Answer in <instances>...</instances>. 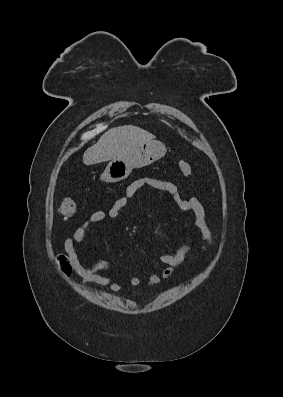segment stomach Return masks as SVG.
I'll return each mask as SVG.
<instances>
[{"instance_id":"obj_1","label":"stomach","mask_w":283,"mask_h":397,"mask_svg":"<svg viewBox=\"0 0 283 397\" xmlns=\"http://www.w3.org/2000/svg\"><path fill=\"white\" fill-rule=\"evenodd\" d=\"M166 154L165 145L158 141L145 143L121 159L111 160L101 174L105 182H118L126 179L134 168L154 163Z\"/></svg>"}]
</instances>
